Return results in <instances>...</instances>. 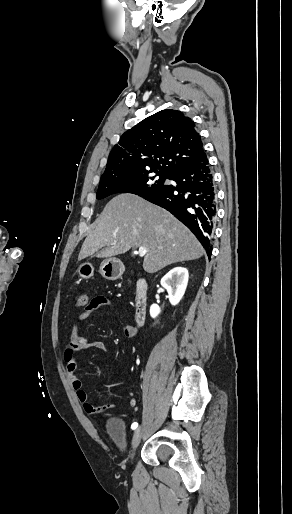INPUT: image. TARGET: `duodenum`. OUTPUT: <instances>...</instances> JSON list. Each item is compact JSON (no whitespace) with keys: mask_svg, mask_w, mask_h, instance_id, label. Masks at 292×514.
Masks as SVG:
<instances>
[{"mask_svg":"<svg viewBox=\"0 0 292 514\" xmlns=\"http://www.w3.org/2000/svg\"><path fill=\"white\" fill-rule=\"evenodd\" d=\"M148 306V284L143 278L139 279L136 285V296L134 302V320L138 326H142L146 317Z\"/></svg>","mask_w":292,"mask_h":514,"instance_id":"1","label":"duodenum"}]
</instances>
